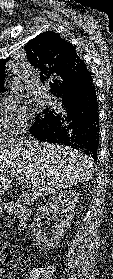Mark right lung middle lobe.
I'll use <instances>...</instances> for the list:
<instances>
[{
    "instance_id": "obj_1",
    "label": "right lung middle lobe",
    "mask_w": 113,
    "mask_h": 279,
    "mask_svg": "<svg viewBox=\"0 0 113 279\" xmlns=\"http://www.w3.org/2000/svg\"><path fill=\"white\" fill-rule=\"evenodd\" d=\"M53 114V111H51L50 109H45L43 110L42 113H39L36 118H35V122L34 124L31 126V128L36 127L37 125L47 121L51 115Z\"/></svg>"
}]
</instances>
